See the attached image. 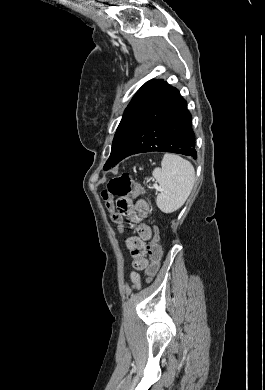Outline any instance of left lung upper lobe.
I'll return each instance as SVG.
<instances>
[{"mask_svg":"<svg viewBox=\"0 0 265 390\" xmlns=\"http://www.w3.org/2000/svg\"><path fill=\"white\" fill-rule=\"evenodd\" d=\"M163 83V80H150L134 95L125 109L122 120L116 130L111 154L104 165V170L110 169L119 162L133 137L143 108L149 103Z\"/></svg>","mask_w":265,"mask_h":390,"instance_id":"left-lung-upper-lobe-1","label":"left lung upper lobe"}]
</instances>
